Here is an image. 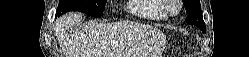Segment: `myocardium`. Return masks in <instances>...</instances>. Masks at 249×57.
I'll use <instances>...</instances> for the list:
<instances>
[{"mask_svg":"<svg viewBox=\"0 0 249 57\" xmlns=\"http://www.w3.org/2000/svg\"><path fill=\"white\" fill-rule=\"evenodd\" d=\"M166 4V11L170 16H176L182 10V2L180 0H166Z\"/></svg>","mask_w":249,"mask_h":57,"instance_id":"obj_1","label":"myocardium"}]
</instances>
